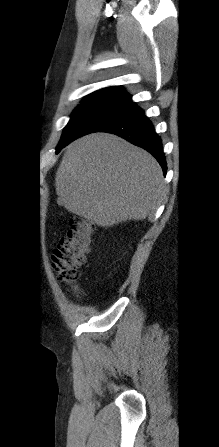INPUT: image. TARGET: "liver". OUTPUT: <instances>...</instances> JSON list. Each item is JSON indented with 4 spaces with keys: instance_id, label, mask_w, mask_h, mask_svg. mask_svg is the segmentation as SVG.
<instances>
[{
    "instance_id": "obj_1",
    "label": "liver",
    "mask_w": 219,
    "mask_h": 447,
    "mask_svg": "<svg viewBox=\"0 0 219 447\" xmlns=\"http://www.w3.org/2000/svg\"><path fill=\"white\" fill-rule=\"evenodd\" d=\"M55 186L59 205L101 227L146 218L165 191L154 157L107 133L84 136L67 147Z\"/></svg>"
}]
</instances>
